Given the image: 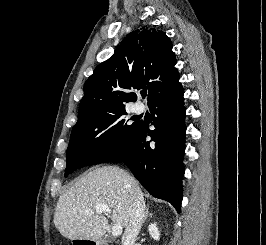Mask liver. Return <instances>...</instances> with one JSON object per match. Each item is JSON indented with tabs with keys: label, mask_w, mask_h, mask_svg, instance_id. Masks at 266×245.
Instances as JSON below:
<instances>
[{
	"label": "liver",
	"mask_w": 266,
	"mask_h": 245,
	"mask_svg": "<svg viewBox=\"0 0 266 245\" xmlns=\"http://www.w3.org/2000/svg\"><path fill=\"white\" fill-rule=\"evenodd\" d=\"M137 187L138 181L119 167L94 169L63 191L53 223L66 239L98 241L106 235L109 225L106 217L96 213V205H108L112 209V223L126 229L130 219L129 189ZM86 209L91 213H85Z\"/></svg>",
	"instance_id": "6515ba94"
}]
</instances>
